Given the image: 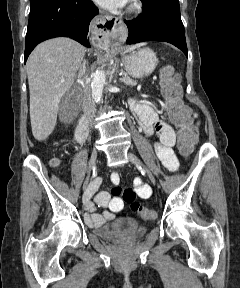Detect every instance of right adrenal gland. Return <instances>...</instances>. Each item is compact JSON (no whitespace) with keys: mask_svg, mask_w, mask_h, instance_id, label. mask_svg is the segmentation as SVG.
<instances>
[{"mask_svg":"<svg viewBox=\"0 0 240 288\" xmlns=\"http://www.w3.org/2000/svg\"><path fill=\"white\" fill-rule=\"evenodd\" d=\"M86 66H87V62H86V61H83V64H82V71H83V72L86 71Z\"/></svg>","mask_w":240,"mask_h":288,"instance_id":"2a0ac1e0","label":"right adrenal gland"}]
</instances>
